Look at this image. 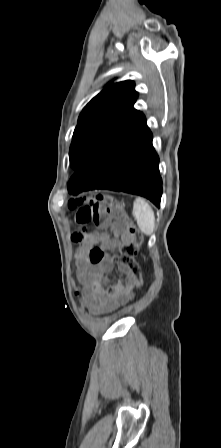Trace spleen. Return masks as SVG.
<instances>
[{"mask_svg":"<svg viewBox=\"0 0 221 448\" xmlns=\"http://www.w3.org/2000/svg\"><path fill=\"white\" fill-rule=\"evenodd\" d=\"M133 216L139 229L145 235H152L155 227V215L150 205L142 198H136L133 203Z\"/></svg>","mask_w":221,"mask_h":448,"instance_id":"obj_1","label":"spleen"}]
</instances>
